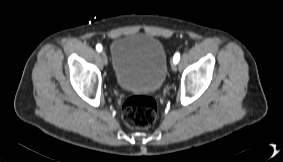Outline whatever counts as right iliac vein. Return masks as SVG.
Instances as JSON below:
<instances>
[{
  "instance_id": "1",
  "label": "right iliac vein",
  "mask_w": 283,
  "mask_h": 162,
  "mask_svg": "<svg viewBox=\"0 0 283 162\" xmlns=\"http://www.w3.org/2000/svg\"><path fill=\"white\" fill-rule=\"evenodd\" d=\"M101 57H102V61H103L104 65H107L108 58H107V55H106L105 51L101 52Z\"/></svg>"
}]
</instances>
